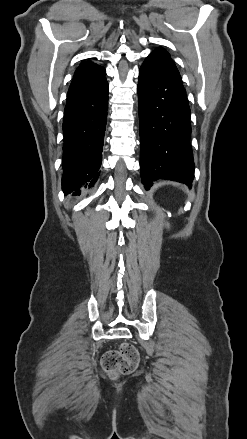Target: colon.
<instances>
[{
    "label": "colon",
    "mask_w": 247,
    "mask_h": 439,
    "mask_svg": "<svg viewBox=\"0 0 247 439\" xmlns=\"http://www.w3.org/2000/svg\"><path fill=\"white\" fill-rule=\"evenodd\" d=\"M139 362L137 349L130 343H123L117 350L107 351L102 358L103 369L112 377L130 374Z\"/></svg>",
    "instance_id": "colon-1"
}]
</instances>
